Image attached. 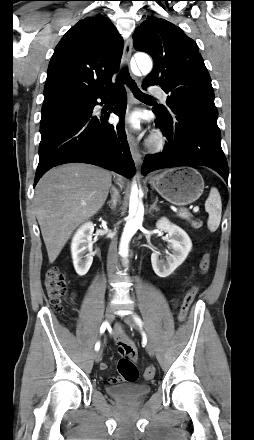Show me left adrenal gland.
I'll list each match as a JSON object with an SVG mask.
<instances>
[{"instance_id": "obj_1", "label": "left adrenal gland", "mask_w": 254, "mask_h": 440, "mask_svg": "<svg viewBox=\"0 0 254 440\" xmlns=\"http://www.w3.org/2000/svg\"><path fill=\"white\" fill-rule=\"evenodd\" d=\"M157 202H158V197L155 198V201L153 202V204L150 206L149 208V213H151L152 211H159V208L157 206Z\"/></svg>"}]
</instances>
